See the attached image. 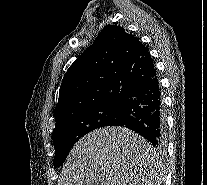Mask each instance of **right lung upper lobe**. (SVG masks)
Segmentation results:
<instances>
[{
    "instance_id": "cb5924a9",
    "label": "right lung upper lobe",
    "mask_w": 207,
    "mask_h": 185,
    "mask_svg": "<svg viewBox=\"0 0 207 185\" xmlns=\"http://www.w3.org/2000/svg\"><path fill=\"white\" fill-rule=\"evenodd\" d=\"M156 74L150 53L139 38L108 24L64 75L55 121L104 104H121Z\"/></svg>"
}]
</instances>
